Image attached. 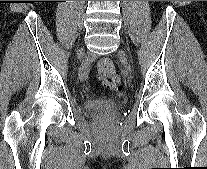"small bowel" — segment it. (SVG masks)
<instances>
[{
	"instance_id": "1",
	"label": "small bowel",
	"mask_w": 207,
	"mask_h": 169,
	"mask_svg": "<svg viewBox=\"0 0 207 169\" xmlns=\"http://www.w3.org/2000/svg\"><path fill=\"white\" fill-rule=\"evenodd\" d=\"M84 69H85V67H84ZM87 70H88V68H87V66H86V70H85V71L87 72Z\"/></svg>"
}]
</instances>
